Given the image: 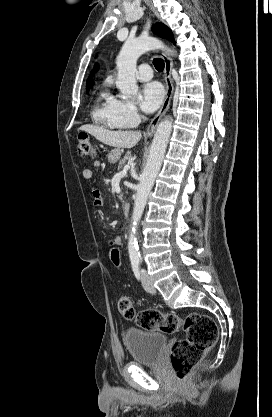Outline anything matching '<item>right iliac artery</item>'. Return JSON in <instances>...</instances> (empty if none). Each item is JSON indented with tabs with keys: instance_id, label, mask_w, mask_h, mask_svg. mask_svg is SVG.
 Masks as SVG:
<instances>
[{
	"instance_id": "right-iliac-artery-1",
	"label": "right iliac artery",
	"mask_w": 272,
	"mask_h": 417,
	"mask_svg": "<svg viewBox=\"0 0 272 417\" xmlns=\"http://www.w3.org/2000/svg\"><path fill=\"white\" fill-rule=\"evenodd\" d=\"M132 270H133L134 275L137 278V280H140L141 275H140V270H139V264L138 263H132Z\"/></svg>"
}]
</instances>
